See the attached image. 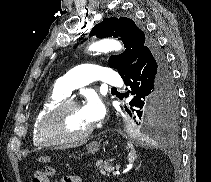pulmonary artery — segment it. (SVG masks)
I'll list each match as a JSON object with an SVG mask.
<instances>
[{"instance_id":"e3ab8cb5","label":"pulmonary artery","mask_w":211,"mask_h":182,"mask_svg":"<svg viewBox=\"0 0 211 182\" xmlns=\"http://www.w3.org/2000/svg\"><path fill=\"white\" fill-rule=\"evenodd\" d=\"M101 80L113 86L121 84L120 76L111 68L96 64H82L63 75L56 83L57 89L64 96H69L76 88Z\"/></svg>"}]
</instances>
